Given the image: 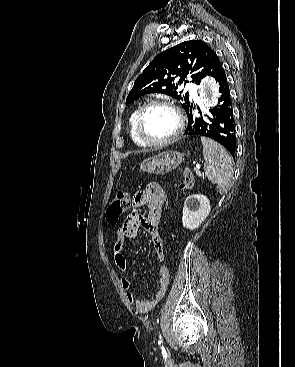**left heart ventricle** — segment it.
Wrapping results in <instances>:
<instances>
[{
	"instance_id": "1",
	"label": "left heart ventricle",
	"mask_w": 295,
	"mask_h": 367,
	"mask_svg": "<svg viewBox=\"0 0 295 367\" xmlns=\"http://www.w3.org/2000/svg\"><path fill=\"white\" fill-rule=\"evenodd\" d=\"M177 128V118L172 110L166 107L149 109L142 121L144 136L152 141H160L170 137Z\"/></svg>"
}]
</instances>
